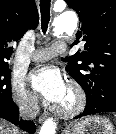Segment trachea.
Here are the masks:
<instances>
[{
  "instance_id": "obj_1",
  "label": "trachea",
  "mask_w": 116,
  "mask_h": 134,
  "mask_svg": "<svg viewBox=\"0 0 116 134\" xmlns=\"http://www.w3.org/2000/svg\"><path fill=\"white\" fill-rule=\"evenodd\" d=\"M50 0H40V12H41V28L45 34L50 21Z\"/></svg>"
}]
</instances>
